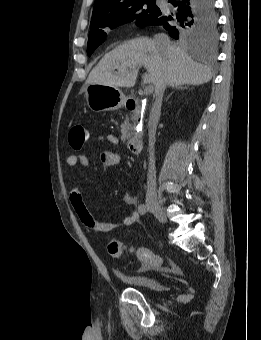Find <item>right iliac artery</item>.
Returning <instances> with one entry per match:
<instances>
[{
  "label": "right iliac artery",
  "mask_w": 261,
  "mask_h": 340,
  "mask_svg": "<svg viewBox=\"0 0 261 340\" xmlns=\"http://www.w3.org/2000/svg\"><path fill=\"white\" fill-rule=\"evenodd\" d=\"M138 211L141 215H144L148 211V207L145 204H140L138 207Z\"/></svg>",
  "instance_id": "right-iliac-artery-1"
}]
</instances>
